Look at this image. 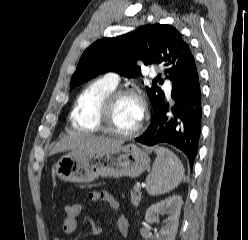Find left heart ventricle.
<instances>
[{
    "label": "left heart ventricle",
    "instance_id": "left-heart-ventricle-1",
    "mask_svg": "<svg viewBox=\"0 0 248 240\" xmlns=\"http://www.w3.org/2000/svg\"><path fill=\"white\" fill-rule=\"evenodd\" d=\"M142 116L140 102L133 97L119 99L110 113V126L121 132L132 131Z\"/></svg>",
    "mask_w": 248,
    "mask_h": 240
}]
</instances>
